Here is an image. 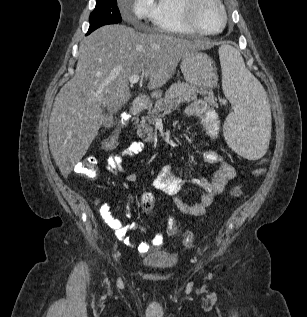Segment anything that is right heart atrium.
Listing matches in <instances>:
<instances>
[{"instance_id":"d8ad5b80","label":"right heart atrium","mask_w":307,"mask_h":317,"mask_svg":"<svg viewBox=\"0 0 307 317\" xmlns=\"http://www.w3.org/2000/svg\"><path fill=\"white\" fill-rule=\"evenodd\" d=\"M156 13L155 0H132L124 16L134 20H153Z\"/></svg>"}]
</instances>
